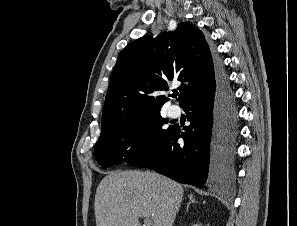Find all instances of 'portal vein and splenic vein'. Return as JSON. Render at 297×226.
I'll use <instances>...</instances> for the list:
<instances>
[{
    "label": "portal vein and splenic vein",
    "mask_w": 297,
    "mask_h": 226,
    "mask_svg": "<svg viewBox=\"0 0 297 226\" xmlns=\"http://www.w3.org/2000/svg\"><path fill=\"white\" fill-rule=\"evenodd\" d=\"M145 223H146V224H149V223H150V219L146 218V219H145Z\"/></svg>",
    "instance_id": "1"
}]
</instances>
